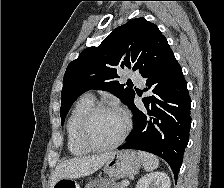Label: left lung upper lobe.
<instances>
[{
    "label": "left lung upper lobe",
    "instance_id": "5c2ea615",
    "mask_svg": "<svg viewBox=\"0 0 224 188\" xmlns=\"http://www.w3.org/2000/svg\"><path fill=\"white\" fill-rule=\"evenodd\" d=\"M173 55L165 36L145 18L117 27L99 46L86 48L68 65L61 92V123L73 102L89 89L109 91L130 106L135 92L119 83L117 70L128 67L145 77Z\"/></svg>",
    "mask_w": 224,
    "mask_h": 188
}]
</instances>
